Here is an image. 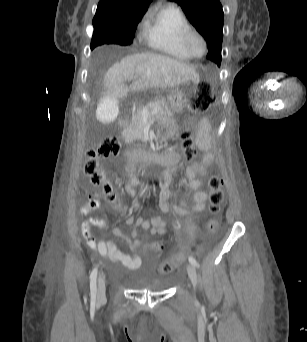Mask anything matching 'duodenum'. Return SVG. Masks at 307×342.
Segmentation results:
<instances>
[{"label": "duodenum", "instance_id": "duodenum-1", "mask_svg": "<svg viewBox=\"0 0 307 342\" xmlns=\"http://www.w3.org/2000/svg\"><path fill=\"white\" fill-rule=\"evenodd\" d=\"M120 123L126 127L127 118L121 117ZM125 157L130 163H134L140 165L142 168H146L148 165L156 164V165H165V166H174V159L169 154L163 155L157 153L155 151H147L142 148L129 146L125 150Z\"/></svg>", "mask_w": 307, "mask_h": 342}]
</instances>
